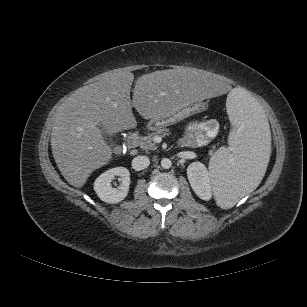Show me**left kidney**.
I'll use <instances>...</instances> for the list:
<instances>
[{"instance_id":"5707ae66","label":"left kidney","mask_w":307,"mask_h":307,"mask_svg":"<svg viewBox=\"0 0 307 307\" xmlns=\"http://www.w3.org/2000/svg\"><path fill=\"white\" fill-rule=\"evenodd\" d=\"M187 177L196 195L203 200L212 197L211 180L206 166L201 162H193L187 168Z\"/></svg>"}]
</instances>
